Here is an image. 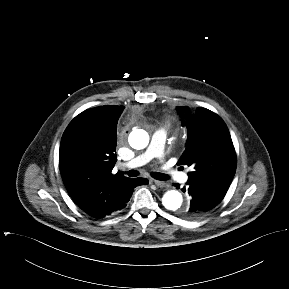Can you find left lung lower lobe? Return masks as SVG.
<instances>
[{
  "label": "left lung lower lobe",
  "instance_id": "0a47b994",
  "mask_svg": "<svg viewBox=\"0 0 289 289\" xmlns=\"http://www.w3.org/2000/svg\"><path fill=\"white\" fill-rule=\"evenodd\" d=\"M188 194L192 197L190 207L183 213L186 217H201L217 206L226 194L227 190L200 182H187ZM179 188V185L176 184ZM185 192L186 188L183 187Z\"/></svg>",
  "mask_w": 289,
  "mask_h": 289
}]
</instances>
